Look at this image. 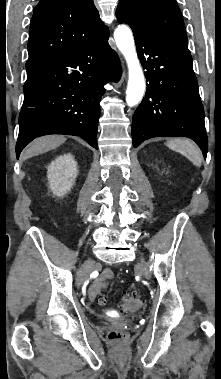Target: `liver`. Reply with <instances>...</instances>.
<instances>
[{
  "label": "liver",
  "mask_w": 221,
  "mask_h": 379,
  "mask_svg": "<svg viewBox=\"0 0 221 379\" xmlns=\"http://www.w3.org/2000/svg\"><path fill=\"white\" fill-rule=\"evenodd\" d=\"M66 141L62 135L42 136L35 139L22 153V159L26 160L33 156L48 152L59 147Z\"/></svg>",
  "instance_id": "1"
}]
</instances>
